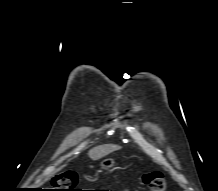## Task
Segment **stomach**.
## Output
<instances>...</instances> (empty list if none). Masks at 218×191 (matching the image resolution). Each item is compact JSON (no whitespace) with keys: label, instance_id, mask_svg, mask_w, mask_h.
<instances>
[{"label":"stomach","instance_id":"stomach-1","mask_svg":"<svg viewBox=\"0 0 218 191\" xmlns=\"http://www.w3.org/2000/svg\"><path fill=\"white\" fill-rule=\"evenodd\" d=\"M115 165V161L112 158H106L101 162V167L103 169H111L112 167H114Z\"/></svg>","mask_w":218,"mask_h":191}]
</instances>
